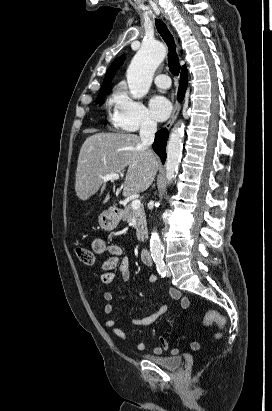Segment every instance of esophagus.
<instances>
[{"label":"esophagus","instance_id":"obj_1","mask_svg":"<svg viewBox=\"0 0 272 411\" xmlns=\"http://www.w3.org/2000/svg\"><path fill=\"white\" fill-rule=\"evenodd\" d=\"M178 48H179V45H178ZM180 109H181V104H180V103H176V105H175V107H174V110H173V113H172L169 121L166 123V126H165V127H166L167 129H169V128L173 125L174 121L176 120V118H177V116H178V114H179Z\"/></svg>","mask_w":272,"mask_h":411}]
</instances>
